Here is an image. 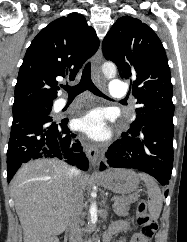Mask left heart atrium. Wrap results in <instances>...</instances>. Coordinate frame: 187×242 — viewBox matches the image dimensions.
I'll list each match as a JSON object with an SVG mask.
<instances>
[{"label":"left heart atrium","instance_id":"left-heart-atrium-1","mask_svg":"<svg viewBox=\"0 0 187 242\" xmlns=\"http://www.w3.org/2000/svg\"><path fill=\"white\" fill-rule=\"evenodd\" d=\"M77 128L93 139H104L109 135L105 115L101 110L94 109L85 113L77 120Z\"/></svg>","mask_w":187,"mask_h":242}]
</instances>
